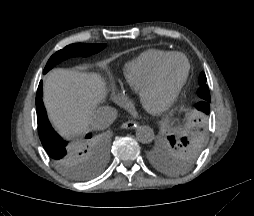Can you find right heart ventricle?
Wrapping results in <instances>:
<instances>
[{"mask_svg": "<svg viewBox=\"0 0 254 216\" xmlns=\"http://www.w3.org/2000/svg\"><path fill=\"white\" fill-rule=\"evenodd\" d=\"M172 53L150 49L127 62L123 67L124 89L136 93L149 81L156 66Z\"/></svg>", "mask_w": 254, "mask_h": 216, "instance_id": "obj_1", "label": "right heart ventricle"}]
</instances>
